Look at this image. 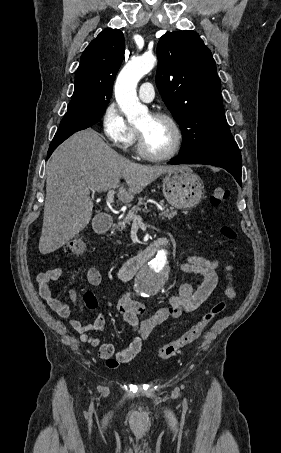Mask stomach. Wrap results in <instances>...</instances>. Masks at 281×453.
<instances>
[{"instance_id": "0dacf381", "label": "stomach", "mask_w": 281, "mask_h": 453, "mask_svg": "<svg viewBox=\"0 0 281 453\" xmlns=\"http://www.w3.org/2000/svg\"><path fill=\"white\" fill-rule=\"evenodd\" d=\"M163 182V194L176 208H194L199 204L204 194L203 182L191 168H179L167 172Z\"/></svg>"}]
</instances>
